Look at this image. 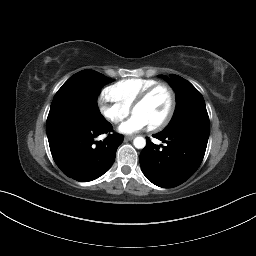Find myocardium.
Here are the masks:
<instances>
[{"label":"myocardium","instance_id":"f54148a6","mask_svg":"<svg viewBox=\"0 0 256 256\" xmlns=\"http://www.w3.org/2000/svg\"><path fill=\"white\" fill-rule=\"evenodd\" d=\"M159 88H164L168 91L169 96H170V106H169L167 114L165 115V117L162 120H160L156 124L149 126V128L151 130H159V129L164 128L170 122L171 118L173 117V114H174V111L176 108V103H177L176 93L173 90V88L167 83H157L155 85H152V86L148 87L146 90H144L137 97V99L134 101V103L132 105V111H133L136 107L145 103L148 100V98L153 94V92H155Z\"/></svg>","mask_w":256,"mask_h":256}]
</instances>
